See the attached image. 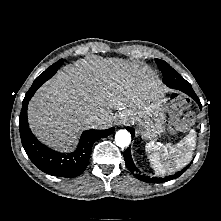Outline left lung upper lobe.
Masks as SVG:
<instances>
[{
    "label": "left lung upper lobe",
    "mask_w": 221,
    "mask_h": 221,
    "mask_svg": "<svg viewBox=\"0 0 221 221\" xmlns=\"http://www.w3.org/2000/svg\"><path fill=\"white\" fill-rule=\"evenodd\" d=\"M159 69L163 73V82L165 84L175 83L179 81L182 77L165 61L155 59Z\"/></svg>",
    "instance_id": "5c2ea615"
}]
</instances>
